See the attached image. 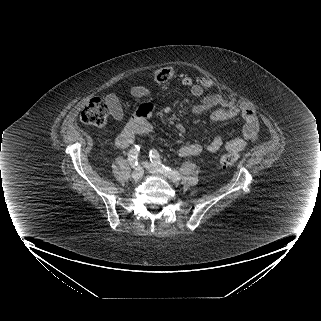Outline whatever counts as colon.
I'll list each match as a JSON object with an SVG mask.
<instances>
[{"label":"colon","instance_id":"colon-1","mask_svg":"<svg viewBox=\"0 0 321 321\" xmlns=\"http://www.w3.org/2000/svg\"><path fill=\"white\" fill-rule=\"evenodd\" d=\"M173 70L170 67L159 68L155 73V78L158 82H167L173 77ZM195 82L199 86L211 87L213 82L207 77L199 75ZM109 107L105 101L99 97L92 98L83 107L80 112V120L82 123L91 126H103L109 115ZM239 160V155L235 152L223 154L219 158L221 166L228 167L234 165Z\"/></svg>","mask_w":321,"mask_h":321}]
</instances>
